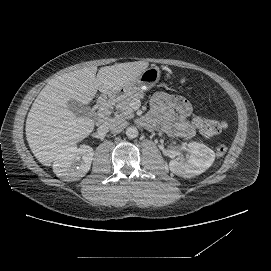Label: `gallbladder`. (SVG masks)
Listing matches in <instances>:
<instances>
[{"instance_id":"obj_1","label":"gallbladder","mask_w":271,"mask_h":271,"mask_svg":"<svg viewBox=\"0 0 271 271\" xmlns=\"http://www.w3.org/2000/svg\"><path fill=\"white\" fill-rule=\"evenodd\" d=\"M69 109L80 117H87L88 114L91 112L89 106L81 105L80 103L74 100L69 102Z\"/></svg>"}]
</instances>
